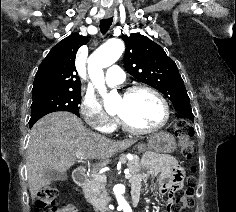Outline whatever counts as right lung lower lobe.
<instances>
[{
	"mask_svg": "<svg viewBox=\"0 0 236 212\" xmlns=\"http://www.w3.org/2000/svg\"><path fill=\"white\" fill-rule=\"evenodd\" d=\"M34 123H35V122H34ZM34 123L30 124V128L33 126Z\"/></svg>",
	"mask_w": 236,
	"mask_h": 212,
	"instance_id": "1",
	"label": "right lung lower lobe"
}]
</instances>
